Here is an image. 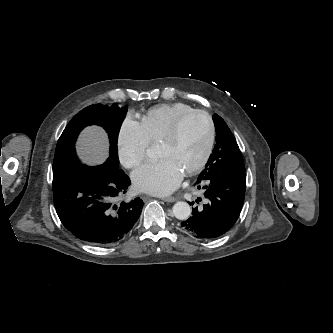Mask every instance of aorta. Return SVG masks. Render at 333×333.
<instances>
[{
	"instance_id": "obj_1",
	"label": "aorta",
	"mask_w": 333,
	"mask_h": 333,
	"mask_svg": "<svg viewBox=\"0 0 333 333\" xmlns=\"http://www.w3.org/2000/svg\"><path fill=\"white\" fill-rule=\"evenodd\" d=\"M173 214L179 220H186L191 215V207L186 202H177L173 206Z\"/></svg>"
}]
</instances>
